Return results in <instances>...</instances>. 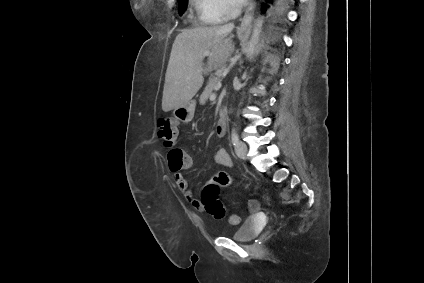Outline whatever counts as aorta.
<instances>
[{"mask_svg":"<svg viewBox=\"0 0 424 283\" xmlns=\"http://www.w3.org/2000/svg\"><path fill=\"white\" fill-rule=\"evenodd\" d=\"M262 22H263L262 19H258L256 21L254 32L252 34L251 40L248 44V47L246 48L247 57H252L255 50H256V45L258 43L259 33H260L261 27H262Z\"/></svg>","mask_w":424,"mask_h":283,"instance_id":"762f6f07","label":"aorta"}]
</instances>
